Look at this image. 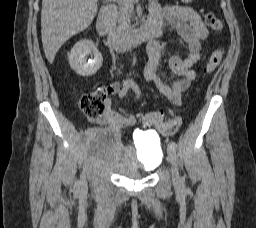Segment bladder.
Instances as JSON below:
<instances>
[{
    "label": "bladder",
    "instance_id": "1",
    "mask_svg": "<svg viewBox=\"0 0 256 228\" xmlns=\"http://www.w3.org/2000/svg\"><path fill=\"white\" fill-rule=\"evenodd\" d=\"M86 147L93 164L130 179L153 171L163 155L158 139H139L138 153L136 149L124 145L120 133L111 129H93L87 138Z\"/></svg>",
    "mask_w": 256,
    "mask_h": 228
}]
</instances>
